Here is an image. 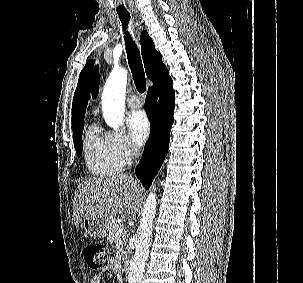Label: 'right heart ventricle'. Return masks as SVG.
<instances>
[{
    "label": "right heart ventricle",
    "instance_id": "right-heart-ventricle-1",
    "mask_svg": "<svg viewBox=\"0 0 303 283\" xmlns=\"http://www.w3.org/2000/svg\"><path fill=\"white\" fill-rule=\"evenodd\" d=\"M84 152L87 168L96 176H112L123 167L111 152L105 136L100 135L94 126L85 133Z\"/></svg>",
    "mask_w": 303,
    "mask_h": 283
}]
</instances>
